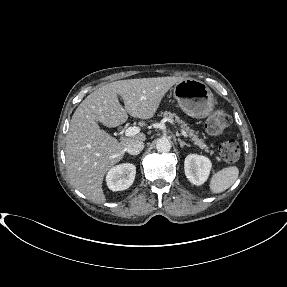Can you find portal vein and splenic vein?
<instances>
[{"label": "portal vein and splenic vein", "mask_w": 287, "mask_h": 287, "mask_svg": "<svg viewBox=\"0 0 287 287\" xmlns=\"http://www.w3.org/2000/svg\"><path fill=\"white\" fill-rule=\"evenodd\" d=\"M140 132V128L139 127H136V126H133V127H129L125 130V135L128 136V137H131V136H134V135H137L138 133ZM181 134L184 136V137H187V133L185 131H181Z\"/></svg>", "instance_id": "18ae733b"}]
</instances>
